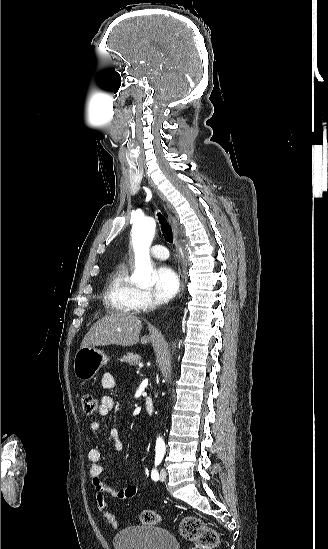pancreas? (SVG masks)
I'll return each mask as SVG.
<instances>
[{
    "label": "pancreas",
    "instance_id": "pancreas-1",
    "mask_svg": "<svg viewBox=\"0 0 328 549\" xmlns=\"http://www.w3.org/2000/svg\"><path fill=\"white\" fill-rule=\"evenodd\" d=\"M123 361L129 363V365H139L141 357H139V355H134V353H127V355H124Z\"/></svg>",
    "mask_w": 328,
    "mask_h": 549
}]
</instances>
